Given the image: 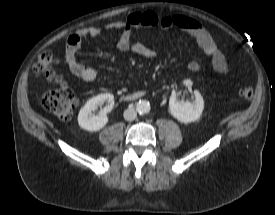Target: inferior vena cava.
<instances>
[{
  "label": "inferior vena cava",
  "instance_id": "obj_1",
  "mask_svg": "<svg viewBox=\"0 0 275 215\" xmlns=\"http://www.w3.org/2000/svg\"><path fill=\"white\" fill-rule=\"evenodd\" d=\"M125 120L132 121L137 117V112L133 108L126 109L123 114Z\"/></svg>",
  "mask_w": 275,
  "mask_h": 215
}]
</instances>
